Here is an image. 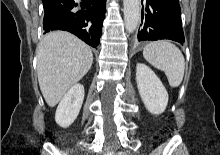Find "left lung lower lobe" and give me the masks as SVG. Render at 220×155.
<instances>
[{"mask_svg": "<svg viewBox=\"0 0 220 155\" xmlns=\"http://www.w3.org/2000/svg\"><path fill=\"white\" fill-rule=\"evenodd\" d=\"M143 2V0H142ZM138 41L170 39L184 43L178 0H146L142 7Z\"/></svg>", "mask_w": 220, "mask_h": 155, "instance_id": "0a47b994", "label": "left lung lower lobe"}]
</instances>
